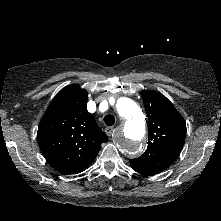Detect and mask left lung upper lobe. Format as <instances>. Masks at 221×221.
I'll use <instances>...</instances> for the list:
<instances>
[{
	"label": "left lung upper lobe",
	"instance_id": "obj_1",
	"mask_svg": "<svg viewBox=\"0 0 221 221\" xmlns=\"http://www.w3.org/2000/svg\"><path fill=\"white\" fill-rule=\"evenodd\" d=\"M148 116V147L131 164L157 174L168 168L179 156L186 136V124L173 104L161 93L141 91Z\"/></svg>",
	"mask_w": 221,
	"mask_h": 221
}]
</instances>
